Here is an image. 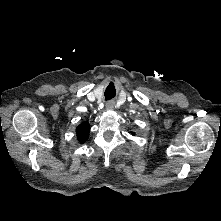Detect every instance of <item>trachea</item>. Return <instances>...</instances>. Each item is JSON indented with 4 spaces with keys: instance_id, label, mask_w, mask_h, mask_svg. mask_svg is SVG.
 <instances>
[{
    "instance_id": "1",
    "label": "trachea",
    "mask_w": 221,
    "mask_h": 221,
    "mask_svg": "<svg viewBox=\"0 0 221 221\" xmlns=\"http://www.w3.org/2000/svg\"><path fill=\"white\" fill-rule=\"evenodd\" d=\"M104 94H105V99L106 100L112 99L114 97V95H115L113 91L110 92L108 89H106Z\"/></svg>"
}]
</instances>
